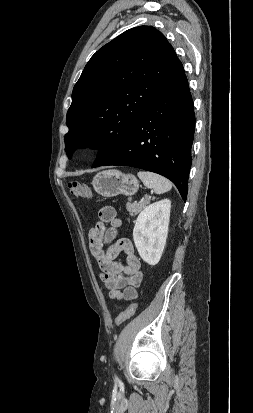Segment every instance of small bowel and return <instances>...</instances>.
<instances>
[{
  "mask_svg": "<svg viewBox=\"0 0 253 413\" xmlns=\"http://www.w3.org/2000/svg\"><path fill=\"white\" fill-rule=\"evenodd\" d=\"M122 220L112 206H104L98 212V221L89 231V247L100 268V278L113 300L133 301L138 297L137 288L142 281L141 262L135 254L129 238H120L113 243ZM126 256L125 262L117 257Z\"/></svg>",
  "mask_w": 253,
  "mask_h": 413,
  "instance_id": "1",
  "label": "small bowel"
}]
</instances>
